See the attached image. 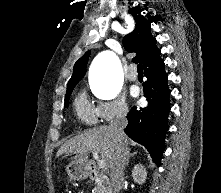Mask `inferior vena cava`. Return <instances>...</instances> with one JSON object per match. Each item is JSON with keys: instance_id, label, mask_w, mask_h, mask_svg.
Returning a JSON list of instances; mask_svg holds the SVG:
<instances>
[{"instance_id": "602c4592", "label": "inferior vena cava", "mask_w": 221, "mask_h": 193, "mask_svg": "<svg viewBox=\"0 0 221 193\" xmlns=\"http://www.w3.org/2000/svg\"><path fill=\"white\" fill-rule=\"evenodd\" d=\"M126 115L127 110L122 109L117 114L116 118L110 123V127L114 130L116 138L115 153L110 164L111 186L114 193H119L121 190L124 176V168L128 155V147L123 141V130L127 125Z\"/></svg>"}]
</instances>
